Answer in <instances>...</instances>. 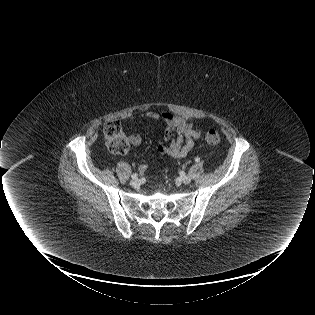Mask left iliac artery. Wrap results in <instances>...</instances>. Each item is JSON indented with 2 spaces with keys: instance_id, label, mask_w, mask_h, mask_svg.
<instances>
[{
  "instance_id": "1",
  "label": "left iliac artery",
  "mask_w": 315,
  "mask_h": 315,
  "mask_svg": "<svg viewBox=\"0 0 315 315\" xmlns=\"http://www.w3.org/2000/svg\"><path fill=\"white\" fill-rule=\"evenodd\" d=\"M195 161H196V162H199V161H200V158H199V157H196V158H195Z\"/></svg>"
}]
</instances>
